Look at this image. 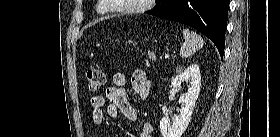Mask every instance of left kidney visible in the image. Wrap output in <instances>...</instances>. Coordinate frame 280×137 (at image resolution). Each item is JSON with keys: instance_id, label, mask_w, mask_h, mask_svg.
<instances>
[{"instance_id": "5707ae66", "label": "left kidney", "mask_w": 280, "mask_h": 137, "mask_svg": "<svg viewBox=\"0 0 280 137\" xmlns=\"http://www.w3.org/2000/svg\"><path fill=\"white\" fill-rule=\"evenodd\" d=\"M186 83L188 90L180 99L181 109L179 115L172 118L164 116L160 121V131L163 137H181L191 120V115L200 92L201 74L197 64H192L185 70L177 74L171 81L173 88H181L182 83Z\"/></svg>"}]
</instances>
